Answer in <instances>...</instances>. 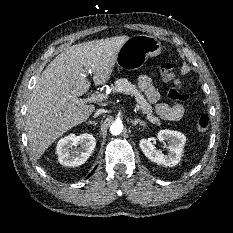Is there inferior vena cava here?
<instances>
[{"label": "inferior vena cava", "mask_w": 233, "mask_h": 233, "mask_svg": "<svg viewBox=\"0 0 233 233\" xmlns=\"http://www.w3.org/2000/svg\"><path fill=\"white\" fill-rule=\"evenodd\" d=\"M105 112H106L105 109H98V110L96 111V113H95L94 116H98V115H100V114H102V113H105Z\"/></svg>", "instance_id": "602c4592"}]
</instances>
